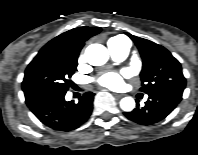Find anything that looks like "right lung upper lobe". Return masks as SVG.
Instances as JSON below:
<instances>
[{"label": "right lung upper lobe", "mask_w": 198, "mask_h": 155, "mask_svg": "<svg viewBox=\"0 0 198 155\" xmlns=\"http://www.w3.org/2000/svg\"><path fill=\"white\" fill-rule=\"evenodd\" d=\"M101 31L99 27H78L69 30L48 42L42 50L46 49H75L80 52L84 42L98 34Z\"/></svg>", "instance_id": "cb5924a9"}]
</instances>
